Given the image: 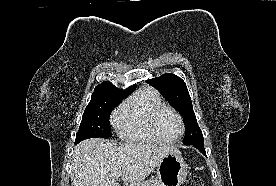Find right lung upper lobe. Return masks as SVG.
Returning <instances> with one entry per match:
<instances>
[{"instance_id":"right-lung-upper-lobe-1","label":"right lung upper lobe","mask_w":276,"mask_h":186,"mask_svg":"<svg viewBox=\"0 0 276 186\" xmlns=\"http://www.w3.org/2000/svg\"><path fill=\"white\" fill-rule=\"evenodd\" d=\"M136 85H132L131 87L127 88L126 90H121L115 87L111 82L104 81L103 83L99 84L95 87L94 93H115L120 95H129L133 92Z\"/></svg>"}]
</instances>
